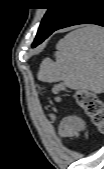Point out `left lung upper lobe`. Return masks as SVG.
I'll return each instance as SVG.
<instances>
[{
  "label": "left lung upper lobe",
  "instance_id": "left-lung-upper-lobe-1",
  "mask_svg": "<svg viewBox=\"0 0 104 169\" xmlns=\"http://www.w3.org/2000/svg\"><path fill=\"white\" fill-rule=\"evenodd\" d=\"M77 0H48L52 6L44 15L38 30L45 33L53 31L73 9Z\"/></svg>",
  "mask_w": 104,
  "mask_h": 169
}]
</instances>
